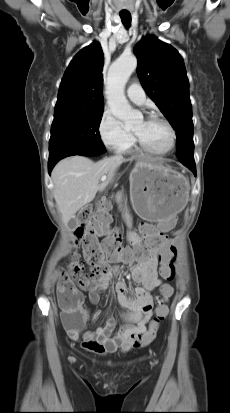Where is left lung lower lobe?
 <instances>
[{
    "instance_id": "1",
    "label": "left lung lower lobe",
    "mask_w": 230,
    "mask_h": 413,
    "mask_svg": "<svg viewBox=\"0 0 230 413\" xmlns=\"http://www.w3.org/2000/svg\"><path fill=\"white\" fill-rule=\"evenodd\" d=\"M183 165H185L187 168H189L193 172V174L196 176L195 162H184Z\"/></svg>"
}]
</instances>
